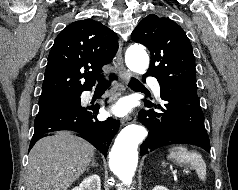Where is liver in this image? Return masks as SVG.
Instances as JSON below:
<instances>
[{
  "label": "liver",
  "mask_w": 238,
  "mask_h": 190,
  "mask_svg": "<svg viewBox=\"0 0 238 190\" xmlns=\"http://www.w3.org/2000/svg\"><path fill=\"white\" fill-rule=\"evenodd\" d=\"M86 140L62 131L40 139L31 149L26 190H68L94 158Z\"/></svg>",
  "instance_id": "liver-1"
}]
</instances>
